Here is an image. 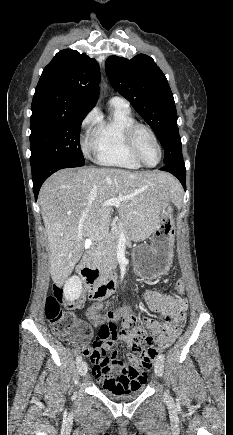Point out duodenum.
Instances as JSON below:
<instances>
[{"label":"duodenum","instance_id":"obj_1","mask_svg":"<svg viewBox=\"0 0 233 435\" xmlns=\"http://www.w3.org/2000/svg\"><path fill=\"white\" fill-rule=\"evenodd\" d=\"M102 246L99 241L92 249L88 250L82 257L79 265V272L85 279L91 278V282H86V289L91 300H102L109 295V286L115 279L114 273L102 275L100 270L92 265L94 252Z\"/></svg>","mask_w":233,"mask_h":435}]
</instances>
